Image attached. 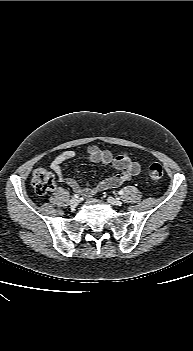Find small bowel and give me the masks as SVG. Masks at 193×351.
Instances as JSON below:
<instances>
[{"label": "small bowel", "instance_id": "1", "mask_svg": "<svg viewBox=\"0 0 193 351\" xmlns=\"http://www.w3.org/2000/svg\"><path fill=\"white\" fill-rule=\"evenodd\" d=\"M75 156V151L65 150L58 154L51 162V169L57 180L69 186L76 193L90 197L100 191L119 187L140 172V165L132 161L126 153L114 156L110 150H103L97 146H90L87 149V158L92 163L104 166L111 165L118 173L116 175L102 179L95 185H80L75 179L68 177L62 170V163Z\"/></svg>", "mask_w": 193, "mask_h": 351}]
</instances>
